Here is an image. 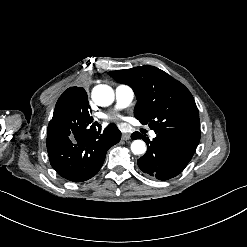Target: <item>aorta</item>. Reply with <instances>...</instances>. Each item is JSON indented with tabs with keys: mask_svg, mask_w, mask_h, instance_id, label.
Segmentation results:
<instances>
[{
	"mask_svg": "<svg viewBox=\"0 0 247 247\" xmlns=\"http://www.w3.org/2000/svg\"><path fill=\"white\" fill-rule=\"evenodd\" d=\"M92 100L102 107L109 106L114 101L113 89L105 84L97 85L92 90ZM131 150L135 155L144 154L147 150L146 144L142 140H134L131 144Z\"/></svg>",
	"mask_w": 247,
	"mask_h": 247,
	"instance_id": "obj_1",
	"label": "aorta"
}]
</instances>
